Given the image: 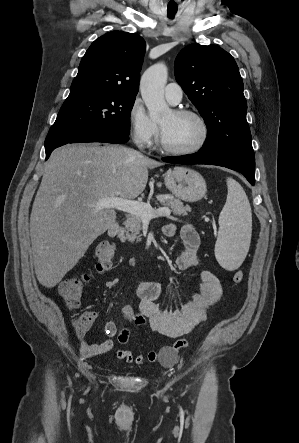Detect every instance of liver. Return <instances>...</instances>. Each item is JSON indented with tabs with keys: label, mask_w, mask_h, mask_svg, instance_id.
Wrapping results in <instances>:
<instances>
[{
	"label": "liver",
	"mask_w": 299,
	"mask_h": 443,
	"mask_svg": "<svg viewBox=\"0 0 299 443\" xmlns=\"http://www.w3.org/2000/svg\"><path fill=\"white\" fill-rule=\"evenodd\" d=\"M159 165L123 146L75 144L52 152L30 216L33 263L41 285L56 286L114 225L115 210L98 209L96 202L138 197L148 168Z\"/></svg>",
	"instance_id": "liver-1"
}]
</instances>
